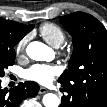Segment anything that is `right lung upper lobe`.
Segmentation results:
<instances>
[{
  "label": "right lung upper lobe",
  "mask_w": 107,
  "mask_h": 107,
  "mask_svg": "<svg viewBox=\"0 0 107 107\" xmlns=\"http://www.w3.org/2000/svg\"><path fill=\"white\" fill-rule=\"evenodd\" d=\"M33 25L20 24L0 18V53L10 51L31 30Z\"/></svg>",
  "instance_id": "cb5924a9"
}]
</instances>
